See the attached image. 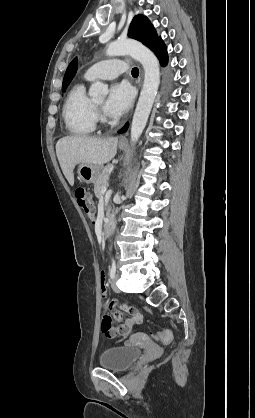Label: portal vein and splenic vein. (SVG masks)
<instances>
[{
    "label": "portal vein and splenic vein",
    "mask_w": 255,
    "mask_h": 418,
    "mask_svg": "<svg viewBox=\"0 0 255 418\" xmlns=\"http://www.w3.org/2000/svg\"><path fill=\"white\" fill-rule=\"evenodd\" d=\"M106 190H107V188L106 187H103L102 190H101V192L104 194L106 192Z\"/></svg>",
    "instance_id": "18ae733b"
}]
</instances>
